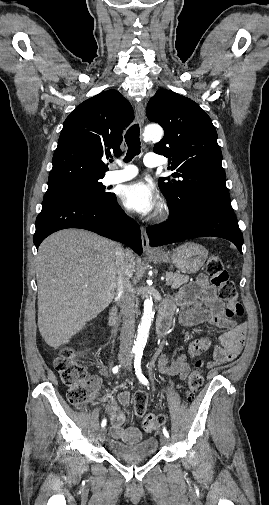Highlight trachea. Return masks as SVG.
<instances>
[{
    "mask_svg": "<svg viewBox=\"0 0 269 505\" xmlns=\"http://www.w3.org/2000/svg\"><path fill=\"white\" fill-rule=\"evenodd\" d=\"M140 128L139 124L132 125L125 134V141L128 146L125 162L131 161L135 156L140 154ZM112 162V160H111Z\"/></svg>",
    "mask_w": 269,
    "mask_h": 505,
    "instance_id": "3493384b",
    "label": "trachea"
}]
</instances>
